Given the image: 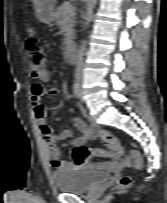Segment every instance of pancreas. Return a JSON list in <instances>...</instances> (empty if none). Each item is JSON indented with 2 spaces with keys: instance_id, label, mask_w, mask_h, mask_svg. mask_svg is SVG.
<instances>
[{
  "instance_id": "cf45deb5",
  "label": "pancreas",
  "mask_w": 167,
  "mask_h": 203,
  "mask_svg": "<svg viewBox=\"0 0 167 203\" xmlns=\"http://www.w3.org/2000/svg\"><path fill=\"white\" fill-rule=\"evenodd\" d=\"M70 4L63 3L60 5L56 11L55 14V21L56 24L61 28H65V44L66 48L69 49L72 45L73 35H74V29L75 26V17L74 12L73 14H68L66 12V7H68Z\"/></svg>"
}]
</instances>
